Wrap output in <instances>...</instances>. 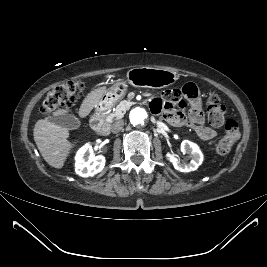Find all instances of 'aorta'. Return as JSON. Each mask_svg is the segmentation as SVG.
<instances>
[{
    "label": "aorta",
    "instance_id": "1",
    "mask_svg": "<svg viewBox=\"0 0 267 267\" xmlns=\"http://www.w3.org/2000/svg\"><path fill=\"white\" fill-rule=\"evenodd\" d=\"M129 118H130V122L133 125L139 126V125H143L144 123H146L148 114L145 111V109L136 107L131 110Z\"/></svg>",
    "mask_w": 267,
    "mask_h": 267
}]
</instances>
